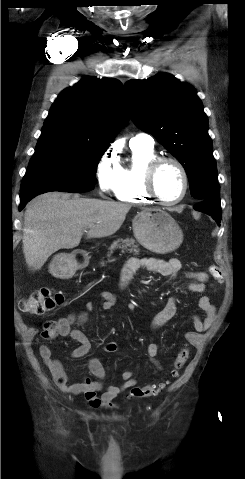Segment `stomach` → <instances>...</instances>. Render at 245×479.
<instances>
[{"mask_svg": "<svg viewBox=\"0 0 245 479\" xmlns=\"http://www.w3.org/2000/svg\"><path fill=\"white\" fill-rule=\"evenodd\" d=\"M133 232L146 249L165 254L177 249L183 241V232L176 221L165 211L144 209L133 219ZM49 272L56 278L69 279L76 271V262L70 254L55 255Z\"/></svg>", "mask_w": 245, "mask_h": 479, "instance_id": "obj_1", "label": "stomach"}]
</instances>
